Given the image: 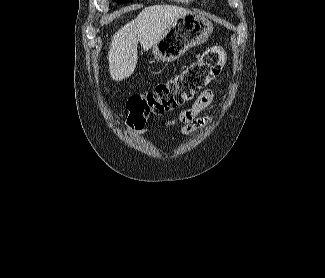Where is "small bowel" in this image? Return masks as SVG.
<instances>
[{
	"mask_svg": "<svg viewBox=\"0 0 325 278\" xmlns=\"http://www.w3.org/2000/svg\"><path fill=\"white\" fill-rule=\"evenodd\" d=\"M214 96V91L212 89L204 90L197 97L193 105L190 108L182 111L175 121H173V123L181 125L182 132L184 134H190L196 131L209 120L208 115H199L211 105L214 100ZM139 133L145 134L147 133V130H141Z\"/></svg>",
	"mask_w": 325,
	"mask_h": 278,
	"instance_id": "small-bowel-1",
	"label": "small bowel"
}]
</instances>
